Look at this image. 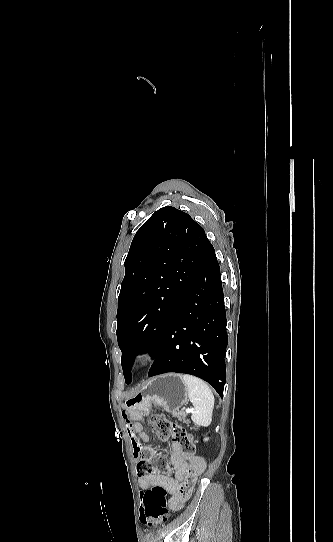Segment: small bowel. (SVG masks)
Instances as JSON below:
<instances>
[{
  "label": "small bowel",
  "mask_w": 333,
  "mask_h": 542,
  "mask_svg": "<svg viewBox=\"0 0 333 542\" xmlns=\"http://www.w3.org/2000/svg\"><path fill=\"white\" fill-rule=\"evenodd\" d=\"M137 413H133L131 409L122 411V418L127 425L129 437L133 447V458L141 459L143 462H150L151 458L156 456L155 450L148 444L149 436L144 432L141 423L136 422L131 424V419L136 417ZM142 452H144L142 454ZM170 463L174 470V477H169L156 472L152 475L145 476L140 479L139 484L143 489H148L152 486H162L169 493V507L172 510H180L188 501L191 490L183 491L185 483L190 482L191 486L197 482L198 478L206 469V462L202 457L195 456L185 451L181 444L177 441L171 443Z\"/></svg>",
  "instance_id": "small-bowel-1"
}]
</instances>
